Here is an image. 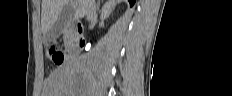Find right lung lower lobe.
<instances>
[{
    "instance_id": "right-lung-lower-lobe-1",
    "label": "right lung lower lobe",
    "mask_w": 232,
    "mask_h": 96,
    "mask_svg": "<svg viewBox=\"0 0 232 96\" xmlns=\"http://www.w3.org/2000/svg\"><path fill=\"white\" fill-rule=\"evenodd\" d=\"M128 1H129V3H130L131 6H133L134 3H135V0H128Z\"/></svg>"
}]
</instances>
